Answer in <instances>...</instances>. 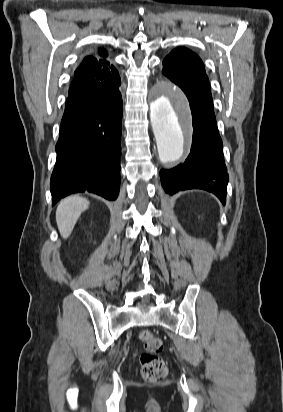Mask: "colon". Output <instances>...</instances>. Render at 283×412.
Returning <instances> with one entry per match:
<instances>
[{
  "label": "colon",
  "instance_id": "obj_1",
  "mask_svg": "<svg viewBox=\"0 0 283 412\" xmlns=\"http://www.w3.org/2000/svg\"><path fill=\"white\" fill-rule=\"evenodd\" d=\"M139 341L145 351L140 356V367L143 378L149 382H160L168 373L166 362L159 356L162 341L150 330L139 334Z\"/></svg>",
  "mask_w": 283,
  "mask_h": 412
}]
</instances>
